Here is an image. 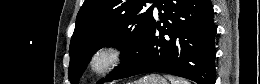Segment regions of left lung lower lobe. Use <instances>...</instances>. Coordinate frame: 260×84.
I'll list each match as a JSON object with an SVG mask.
<instances>
[{
	"mask_svg": "<svg viewBox=\"0 0 260 84\" xmlns=\"http://www.w3.org/2000/svg\"><path fill=\"white\" fill-rule=\"evenodd\" d=\"M154 5L160 21L153 18L138 56L112 80L163 72L215 84L216 27L210 0H155Z\"/></svg>",
	"mask_w": 260,
	"mask_h": 84,
	"instance_id": "1",
	"label": "left lung lower lobe"
}]
</instances>
